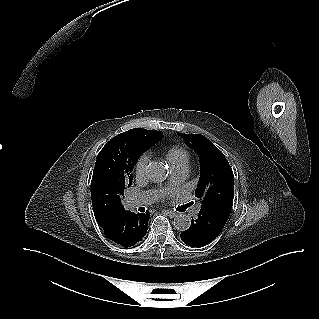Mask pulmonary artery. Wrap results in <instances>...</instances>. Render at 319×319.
I'll list each match as a JSON object with an SVG mask.
<instances>
[{
    "instance_id": "pulmonary-artery-1",
    "label": "pulmonary artery",
    "mask_w": 319,
    "mask_h": 319,
    "mask_svg": "<svg viewBox=\"0 0 319 319\" xmlns=\"http://www.w3.org/2000/svg\"><path fill=\"white\" fill-rule=\"evenodd\" d=\"M175 176L177 179H183L186 177L188 172V163H182L175 168H173ZM150 201V197L148 195L134 196L129 200V205L131 208H138L147 204ZM200 207L195 208V213L199 211Z\"/></svg>"
}]
</instances>
